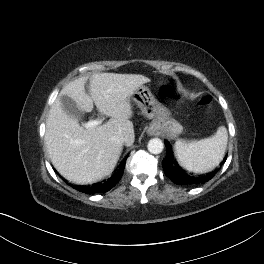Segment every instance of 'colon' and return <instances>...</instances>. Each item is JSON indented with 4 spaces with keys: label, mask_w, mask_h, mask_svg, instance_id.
Wrapping results in <instances>:
<instances>
[{
    "label": "colon",
    "mask_w": 264,
    "mask_h": 264,
    "mask_svg": "<svg viewBox=\"0 0 264 264\" xmlns=\"http://www.w3.org/2000/svg\"><path fill=\"white\" fill-rule=\"evenodd\" d=\"M164 92L166 95L173 97L174 96V89L172 86L168 85L164 87ZM212 102V97L210 95H204L200 101L199 104L202 106L209 105Z\"/></svg>",
    "instance_id": "5ec220e1"
}]
</instances>
